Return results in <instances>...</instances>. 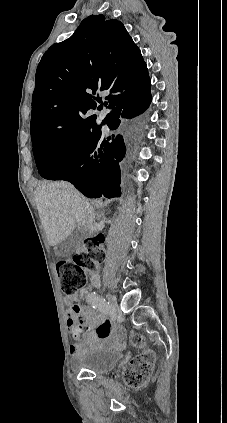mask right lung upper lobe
<instances>
[{
  "mask_svg": "<svg viewBox=\"0 0 227 423\" xmlns=\"http://www.w3.org/2000/svg\"><path fill=\"white\" fill-rule=\"evenodd\" d=\"M150 85L146 63L124 25L101 14L89 16L70 38L53 44L37 67L32 142L94 135L100 128L96 115L87 112L96 109L97 91L109 92V107L148 93Z\"/></svg>",
  "mask_w": 227,
  "mask_h": 423,
  "instance_id": "cb5924a9",
  "label": "right lung upper lobe"
}]
</instances>
